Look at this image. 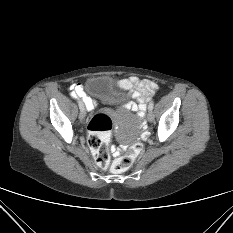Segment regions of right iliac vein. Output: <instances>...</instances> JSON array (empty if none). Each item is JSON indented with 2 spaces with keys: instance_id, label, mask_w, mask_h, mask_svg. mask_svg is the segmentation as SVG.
I'll return each mask as SVG.
<instances>
[{
  "instance_id": "right-iliac-vein-1",
  "label": "right iliac vein",
  "mask_w": 233,
  "mask_h": 233,
  "mask_svg": "<svg viewBox=\"0 0 233 233\" xmlns=\"http://www.w3.org/2000/svg\"><path fill=\"white\" fill-rule=\"evenodd\" d=\"M78 105L80 108L79 118H80V120H84L85 115H86L84 104L81 100H78Z\"/></svg>"
}]
</instances>
